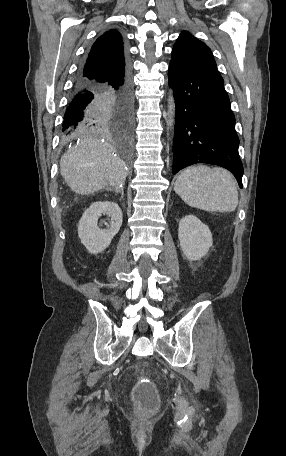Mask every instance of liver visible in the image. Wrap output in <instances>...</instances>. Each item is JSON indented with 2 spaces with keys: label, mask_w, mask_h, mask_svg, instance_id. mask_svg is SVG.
<instances>
[{
  "label": "liver",
  "mask_w": 286,
  "mask_h": 456,
  "mask_svg": "<svg viewBox=\"0 0 286 456\" xmlns=\"http://www.w3.org/2000/svg\"><path fill=\"white\" fill-rule=\"evenodd\" d=\"M60 173L71 190L89 195L105 186L118 191L125 183V164L99 139L85 138L61 158Z\"/></svg>",
  "instance_id": "liver-1"
}]
</instances>
